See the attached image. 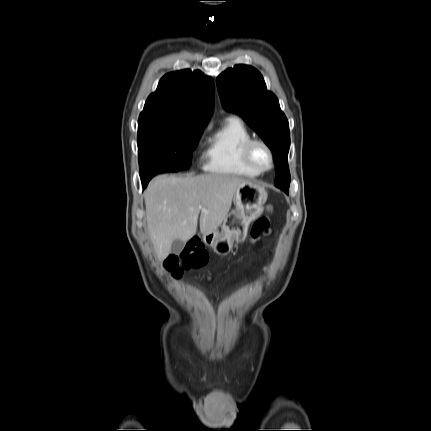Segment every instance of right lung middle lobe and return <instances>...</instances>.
<instances>
[{
    "label": "right lung middle lobe",
    "mask_w": 431,
    "mask_h": 431,
    "mask_svg": "<svg viewBox=\"0 0 431 431\" xmlns=\"http://www.w3.org/2000/svg\"><path fill=\"white\" fill-rule=\"evenodd\" d=\"M205 125L165 120L138 121L140 177L188 169Z\"/></svg>",
    "instance_id": "right-lung-middle-lobe-1"
}]
</instances>
